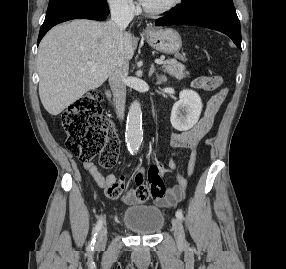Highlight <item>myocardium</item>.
I'll return each mask as SVG.
<instances>
[{
    "label": "myocardium",
    "mask_w": 286,
    "mask_h": 269,
    "mask_svg": "<svg viewBox=\"0 0 286 269\" xmlns=\"http://www.w3.org/2000/svg\"><path fill=\"white\" fill-rule=\"evenodd\" d=\"M181 1L182 0H171L167 4H165L164 6L156 8V9H151V8H148L144 5H142V9H143L144 13L147 15L159 16V15L166 14V13L172 11L173 9H175L181 3Z\"/></svg>",
    "instance_id": "f54148a6"
}]
</instances>
